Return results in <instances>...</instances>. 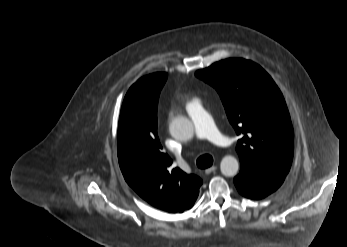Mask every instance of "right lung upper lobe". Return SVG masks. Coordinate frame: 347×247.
Returning a JSON list of instances; mask_svg holds the SVG:
<instances>
[{"mask_svg":"<svg viewBox=\"0 0 347 247\" xmlns=\"http://www.w3.org/2000/svg\"><path fill=\"white\" fill-rule=\"evenodd\" d=\"M165 73L140 78L128 90L118 125V160L127 183L144 200L167 212L193 206L202 180L179 168L162 151L157 135V105Z\"/></svg>","mask_w":347,"mask_h":247,"instance_id":"cb5924a9","label":"right lung upper lobe"}]
</instances>
